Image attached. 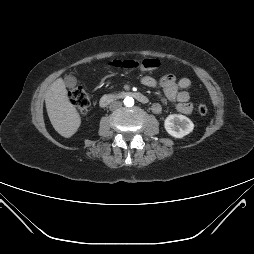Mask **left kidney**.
Returning a JSON list of instances; mask_svg holds the SVG:
<instances>
[{
  "mask_svg": "<svg viewBox=\"0 0 254 254\" xmlns=\"http://www.w3.org/2000/svg\"><path fill=\"white\" fill-rule=\"evenodd\" d=\"M165 130L175 138H183L194 129L193 122L184 115L171 114L164 122Z\"/></svg>",
  "mask_w": 254,
  "mask_h": 254,
  "instance_id": "1",
  "label": "left kidney"
}]
</instances>
